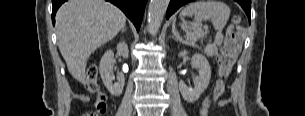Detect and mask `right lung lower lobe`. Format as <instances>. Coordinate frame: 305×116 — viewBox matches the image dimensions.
Returning a JSON list of instances; mask_svg holds the SVG:
<instances>
[{"instance_id": "1", "label": "right lung lower lobe", "mask_w": 305, "mask_h": 116, "mask_svg": "<svg viewBox=\"0 0 305 116\" xmlns=\"http://www.w3.org/2000/svg\"><path fill=\"white\" fill-rule=\"evenodd\" d=\"M66 0H52V22L55 24V14L58 8ZM114 5L118 6L126 16L134 23L137 31H139L141 21L144 14V9L147 0H107Z\"/></svg>"}]
</instances>
